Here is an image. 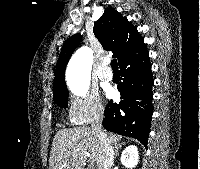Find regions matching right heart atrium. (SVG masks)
<instances>
[{"mask_svg": "<svg viewBox=\"0 0 200 169\" xmlns=\"http://www.w3.org/2000/svg\"><path fill=\"white\" fill-rule=\"evenodd\" d=\"M104 113L105 105L97 93L73 95L69 100L68 119L73 125H86Z\"/></svg>", "mask_w": 200, "mask_h": 169, "instance_id": "1", "label": "right heart atrium"}]
</instances>
